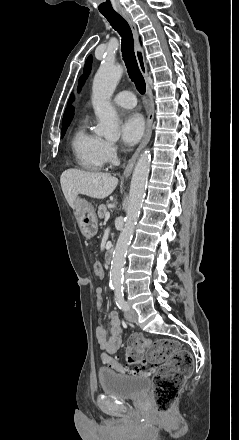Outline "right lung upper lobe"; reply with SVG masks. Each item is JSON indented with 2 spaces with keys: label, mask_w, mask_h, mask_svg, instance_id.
<instances>
[{
  "label": "right lung upper lobe",
  "mask_w": 239,
  "mask_h": 440,
  "mask_svg": "<svg viewBox=\"0 0 239 440\" xmlns=\"http://www.w3.org/2000/svg\"><path fill=\"white\" fill-rule=\"evenodd\" d=\"M72 97L73 96L71 95V97H70V99L68 101V106L65 109L64 117H63V121H62V127L66 126V125H69L71 120H72V118H73L74 108L70 105L71 101H72Z\"/></svg>",
  "instance_id": "obj_1"
}]
</instances>
